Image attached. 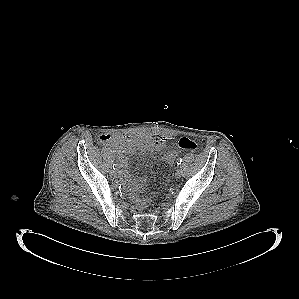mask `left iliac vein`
I'll list each match as a JSON object with an SVG mask.
<instances>
[{
    "mask_svg": "<svg viewBox=\"0 0 299 299\" xmlns=\"http://www.w3.org/2000/svg\"><path fill=\"white\" fill-rule=\"evenodd\" d=\"M181 175H182V169H181V167H178L177 170H176L175 176L177 178H180Z\"/></svg>",
    "mask_w": 299,
    "mask_h": 299,
    "instance_id": "1",
    "label": "left iliac vein"
}]
</instances>
